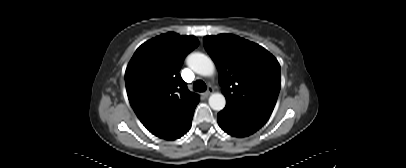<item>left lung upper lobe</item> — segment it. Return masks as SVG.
Listing matches in <instances>:
<instances>
[{"label":"left lung upper lobe","instance_id":"5c2ea615","mask_svg":"<svg viewBox=\"0 0 406 168\" xmlns=\"http://www.w3.org/2000/svg\"><path fill=\"white\" fill-rule=\"evenodd\" d=\"M228 105L270 117L281 87L280 65L266 49L231 34L206 36Z\"/></svg>","mask_w":406,"mask_h":168}]
</instances>
